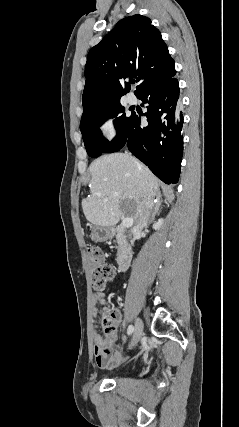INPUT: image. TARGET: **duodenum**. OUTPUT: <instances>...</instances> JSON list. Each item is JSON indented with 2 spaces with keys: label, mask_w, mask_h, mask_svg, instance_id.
<instances>
[{
  "label": "duodenum",
  "mask_w": 239,
  "mask_h": 427,
  "mask_svg": "<svg viewBox=\"0 0 239 427\" xmlns=\"http://www.w3.org/2000/svg\"><path fill=\"white\" fill-rule=\"evenodd\" d=\"M133 254L134 250L132 245L127 240H124L119 248L117 256V265L119 272H124L129 268L132 262Z\"/></svg>",
  "instance_id": "1"
}]
</instances>
